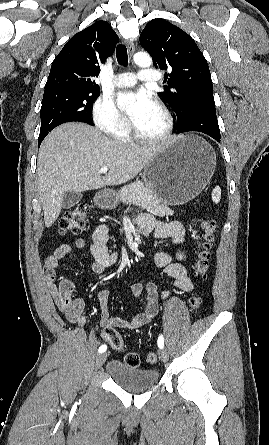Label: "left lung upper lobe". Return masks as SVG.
Returning a JSON list of instances; mask_svg holds the SVG:
<instances>
[{"instance_id":"left-lung-upper-lobe-1","label":"left lung upper lobe","mask_w":269,"mask_h":445,"mask_svg":"<svg viewBox=\"0 0 269 445\" xmlns=\"http://www.w3.org/2000/svg\"><path fill=\"white\" fill-rule=\"evenodd\" d=\"M139 41L152 56L154 66L169 71L165 74L168 86L158 94L176 113L178 125L194 110H215L207 61L186 32L157 18L146 25Z\"/></svg>"}]
</instances>
